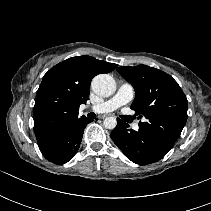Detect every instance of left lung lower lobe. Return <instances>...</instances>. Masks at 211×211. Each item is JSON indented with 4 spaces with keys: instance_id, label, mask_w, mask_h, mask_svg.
<instances>
[{
    "instance_id": "obj_1",
    "label": "left lung lower lobe",
    "mask_w": 211,
    "mask_h": 211,
    "mask_svg": "<svg viewBox=\"0 0 211 211\" xmlns=\"http://www.w3.org/2000/svg\"><path fill=\"white\" fill-rule=\"evenodd\" d=\"M111 132V138L124 155L132 162L146 165L161 160L171 149L148 131L129 129L120 119Z\"/></svg>"
}]
</instances>
